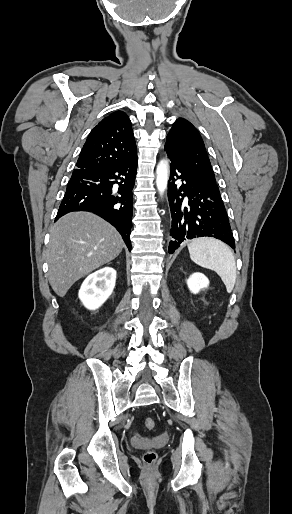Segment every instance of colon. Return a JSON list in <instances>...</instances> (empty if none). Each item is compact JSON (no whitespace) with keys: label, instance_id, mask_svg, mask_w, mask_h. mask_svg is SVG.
Returning a JSON list of instances; mask_svg holds the SVG:
<instances>
[{"label":"colon","instance_id":"obj_1","mask_svg":"<svg viewBox=\"0 0 292 514\" xmlns=\"http://www.w3.org/2000/svg\"><path fill=\"white\" fill-rule=\"evenodd\" d=\"M144 426L148 430H153L156 426V422L153 417L147 416L144 419ZM144 462L147 464H152L156 461V453L155 451L149 449L144 452L143 456Z\"/></svg>","mask_w":292,"mask_h":514}]
</instances>
